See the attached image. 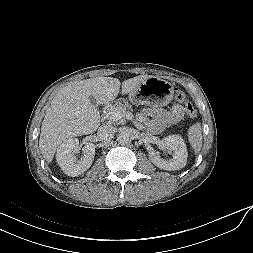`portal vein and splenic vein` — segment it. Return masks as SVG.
Listing matches in <instances>:
<instances>
[{
    "instance_id": "obj_1",
    "label": "portal vein and splenic vein",
    "mask_w": 253,
    "mask_h": 253,
    "mask_svg": "<svg viewBox=\"0 0 253 253\" xmlns=\"http://www.w3.org/2000/svg\"><path fill=\"white\" fill-rule=\"evenodd\" d=\"M108 118L111 121H118L121 118L125 117L127 120H130L134 123L135 126L139 127L140 125L134 121V116L131 112H124L120 110H112L108 114Z\"/></svg>"
}]
</instances>
